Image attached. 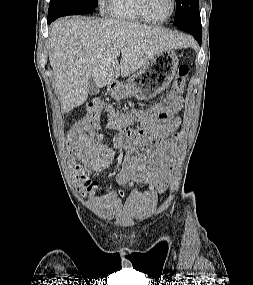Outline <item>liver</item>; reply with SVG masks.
<instances>
[{"mask_svg": "<svg viewBox=\"0 0 253 285\" xmlns=\"http://www.w3.org/2000/svg\"><path fill=\"white\" fill-rule=\"evenodd\" d=\"M49 35V61L63 113L86 101L90 77L104 87L120 74L126 77L144 67L158 53L189 44L185 36L161 27L86 17L60 18Z\"/></svg>", "mask_w": 253, "mask_h": 285, "instance_id": "1", "label": "liver"}]
</instances>
